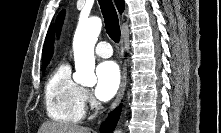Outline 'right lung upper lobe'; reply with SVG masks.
<instances>
[{"label": "right lung upper lobe", "instance_id": "cb5924a9", "mask_svg": "<svg viewBox=\"0 0 221 133\" xmlns=\"http://www.w3.org/2000/svg\"><path fill=\"white\" fill-rule=\"evenodd\" d=\"M117 9L120 13H122L124 11V0H115ZM54 31H53V25L50 27V29L48 30L47 36H46V40L44 43V47H43V54H42V64H48L52 54H53V37Z\"/></svg>", "mask_w": 221, "mask_h": 133}]
</instances>
